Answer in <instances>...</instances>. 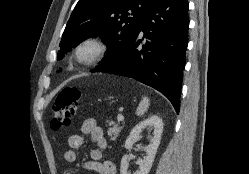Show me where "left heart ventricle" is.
I'll return each instance as SVG.
<instances>
[{"label":"left heart ventricle","mask_w":249,"mask_h":174,"mask_svg":"<svg viewBox=\"0 0 249 174\" xmlns=\"http://www.w3.org/2000/svg\"><path fill=\"white\" fill-rule=\"evenodd\" d=\"M93 52H94V49H93L92 47H86V48L83 49L82 55H83L84 57H88V56H90Z\"/></svg>","instance_id":"1"}]
</instances>
